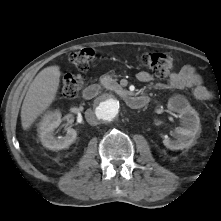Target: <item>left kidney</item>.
<instances>
[{
  "mask_svg": "<svg viewBox=\"0 0 221 221\" xmlns=\"http://www.w3.org/2000/svg\"><path fill=\"white\" fill-rule=\"evenodd\" d=\"M168 108L179 114L181 127H177L175 130L177 140L166 138L163 140V144L171 150L191 147L196 136L201 132L198 113L190 106L188 100L180 95L169 99Z\"/></svg>",
  "mask_w": 221,
  "mask_h": 221,
  "instance_id": "5707ae66",
  "label": "left kidney"
}]
</instances>
